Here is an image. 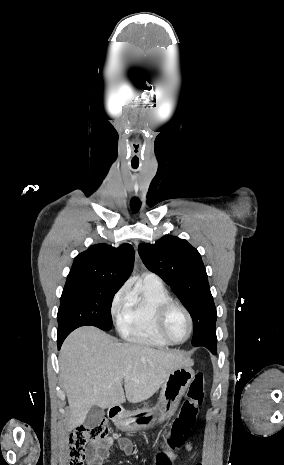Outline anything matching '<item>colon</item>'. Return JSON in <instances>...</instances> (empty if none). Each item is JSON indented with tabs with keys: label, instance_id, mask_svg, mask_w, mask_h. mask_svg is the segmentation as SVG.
<instances>
[{
	"label": "colon",
	"instance_id": "obj_1",
	"mask_svg": "<svg viewBox=\"0 0 284 465\" xmlns=\"http://www.w3.org/2000/svg\"><path fill=\"white\" fill-rule=\"evenodd\" d=\"M188 399L183 404V410L187 413H179L178 421H174L169 425L166 435L168 438H190L191 430L195 429L194 414L197 412V406H201L205 399L204 375L195 373L192 376L191 383L188 388ZM108 436V428L106 424L98 422L91 424L81 429L76 430L70 436V461L69 465H83L85 447ZM165 445L170 448H186V439H170L165 442ZM160 459L157 465H170L165 459L166 454L161 452ZM197 465H202L198 462Z\"/></svg>",
	"mask_w": 284,
	"mask_h": 465
}]
</instances>
